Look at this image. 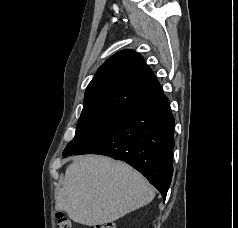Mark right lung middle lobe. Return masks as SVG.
I'll return each instance as SVG.
<instances>
[{
  "instance_id": "right-lung-middle-lobe-1",
  "label": "right lung middle lobe",
  "mask_w": 238,
  "mask_h": 228,
  "mask_svg": "<svg viewBox=\"0 0 238 228\" xmlns=\"http://www.w3.org/2000/svg\"><path fill=\"white\" fill-rule=\"evenodd\" d=\"M122 114L82 112L73 140L65 148L63 155L74 152Z\"/></svg>"
}]
</instances>
